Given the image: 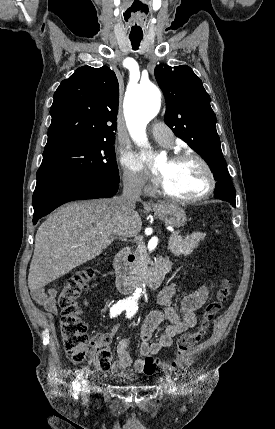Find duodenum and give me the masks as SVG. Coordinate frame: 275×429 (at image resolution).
<instances>
[{
	"label": "duodenum",
	"mask_w": 275,
	"mask_h": 429,
	"mask_svg": "<svg viewBox=\"0 0 275 429\" xmlns=\"http://www.w3.org/2000/svg\"><path fill=\"white\" fill-rule=\"evenodd\" d=\"M130 254L128 250L120 251L114 258L113 268L116 275V286L122 293H130L134 290L139 280L129 271ZM170 270V264L166 260L157 261L149 274L142 279V283L149 289L160 286L164 276Z\"/></svg>",
	"instance_id": "1"
}]
</instances>
